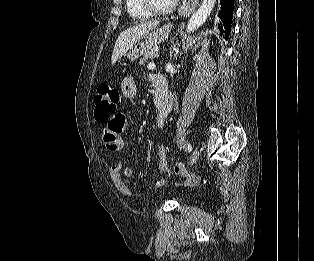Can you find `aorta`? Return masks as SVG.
<instances>
[{
  "instance_id": "aorta-1",
  "label": "aorta",
  "mask_w": 314,
  "mask_h": 261,
  "mask_svg": "<svg viewBox=\"0 0 314 261\" xmlns=\"http://www.w3.org/2000/svg\"><path fill=\"white\" fill-rule=\"evenodd\" d=\"M216 0H203L201 6L198 8V10L193 13V15L190 17L186 32H194L197 30L203 23L207 20V18L210 16L214 6H215Z\"/></svg>"
}]
</instances>
